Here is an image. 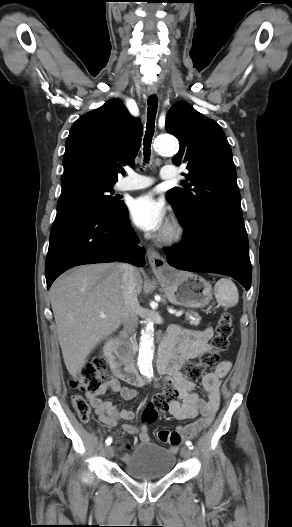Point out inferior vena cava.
<instances>
[{"label":"inferior vena cava","mask_w":292,"mask_h":527,"mask_svg":"<svg viewBox=\"0 0 292 527\" xmlns=\"http://www.w3.org/2000/svg\"><path fill=\"white\" fill-rule=\"evenodd\" d=\"M122 269L124 300L123 325L127 335L133 336L138 326V311L140 309L135 283V268L128 263H123Z\"/></svg>","instance_id":"1"}]
</instances>
